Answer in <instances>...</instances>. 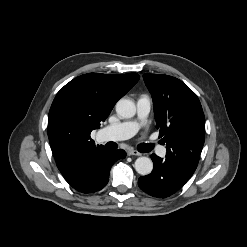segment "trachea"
Listing matches in <instances>:
<instances>
[{
    "mask_svg": "<svg viewBox=\"0 0 247 247\" xmlns=\"http://www.w3.org/2000/svg\"><path fill=\"white\" fill-rule=\"evenodd\" d=\"M153 149V144L144 143L140 145L139 151L140 152H150Z\"/></svg>",
    "mask_w": 247,
    "mask_h": 247,
    "instance_id": "trachea-1",
    "label": "trachea"
}]
</instances>
